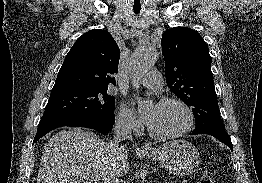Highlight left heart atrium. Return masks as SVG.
Wrapping results in <instances>:
<instances>
[{
  "label": "left heart atrium",
  "mask_w": 262,
  "mask_h": 183,
  "mask_svg": "<svg viewBox=\"0 0 262 183\" xmlns=\"http://www.w3.org/2000/svg\"><path fill=\"white\" fill-rule=\"evenodd\" d=\"M151 119H152V115L147 113L145 116H144V121L149 125L150 122H151Z\"/></svg>",
  "instance_id": "left-heart-atrium-1"
}]
</instances>
